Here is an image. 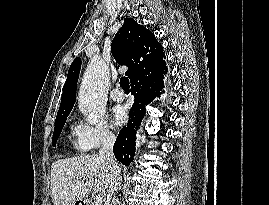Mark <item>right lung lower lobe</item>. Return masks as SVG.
<instances>
[{
	"mask_svg": "<svg viewBox=\"0 0 269 205\" xmlns=\"http://www.w3.org/2000/svg\"><path fill=\"white\" fill-rule=\"evenodd\" d=\"M147 77L142 82L131 85V94L135 97V102L129 112V121L119 132L113 147L116 159L124 165H129L133 161L135 153V131L138 130L142 118L145 115V106L148 105L155 96H159L164 87L163 78L156 79Z\"/></svg>",
	"mask_w": 269,
	"mask_h": 205,
	"instance_id": "obj_1",
	"label": "right lung lower lobe"
}]
</instances>
